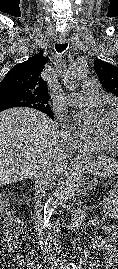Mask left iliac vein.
<instances>
[{"mask_svg": "<svg viewBox=\"0 0 118 269\" xmlns=\"http://www.w3.org/2000/svg\"><path fill=\"white\" fill-rule=\"evenodd\" d=\"M55 264L59 267V269H61L62 268V263L61 262H59V261H56L55 262Z\"/></svg>", "mask_w": 118, "mask_h": 269, "instance_id": "left-iliac-vein-1", "label": "left iliac vein"}]
</instances>
